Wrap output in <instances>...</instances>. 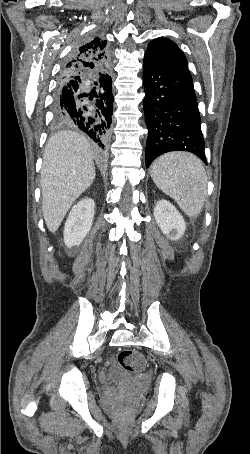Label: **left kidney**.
<instances>
[{"mask_svg": "<svg viewBox=\"0 0 250 454\" xmlns=\"http://www.w3.org/2000/svg\"><path fill=\"white\" fill-rule=\"evenodd\" d=\"M155 220L162 231L171 240H178L186 230L182 215L168 201L160 200L154 208Z\"/></svg>", "mask_w": 250, "mask_h": 454, "instance_id": "left-kidney-1", "label": "left kidney"}]
</instances>
